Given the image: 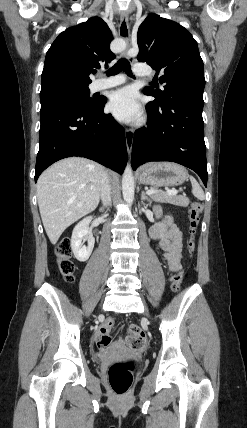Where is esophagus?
Returning <instances> with one entry per match:
<instances>
[{
  "instance_id": "1",
  "label": "esophagus",
  "mask_w": 247,
  "mask_h": 428,
  "mask_svg": "<svg viewBox=\"0 0 247 428\" xmlns=\"http://www.w3.org/2000/svg\"><path fill=\"white\" fill-rule=\"evenodd\" d=\"M119 34L120 36L125 40L127 47L130 46V27L128 22V13L127 11H123L121 13L120 17V24H119ZM133 57H128V61L130 63L134 62ZM133 139H134V132L131 128H125V141L128 153H131L132 145H133Z\"/></svg>"
}]
</instances>
